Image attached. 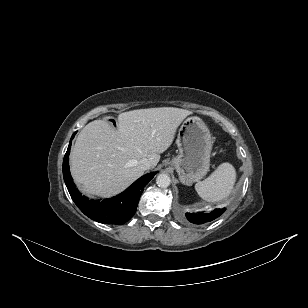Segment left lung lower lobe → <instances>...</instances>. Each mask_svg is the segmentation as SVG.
<instances>
[{"mask_svg": "<svg viewBox=\"0 0 308 308\" xmlns=\"http://www.w3.org/2000/svg\"><path fill=\"white\" fill-rule=\"evenodd\" d=\"M225 211V208L223 209H215L211 212L208 213H198V214H194V213H186V218L188 219V221H190L191 223L194 224H203L206 222H210L214 219H216L217 217H219L223 212Z\"/></svg>", "mask_w": 308, "mask_h": 308, "instance_id": "0a47b994", "label": "left lung lower lobe"}]
</instances>
